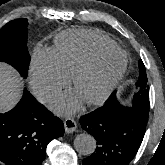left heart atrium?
<instances>
[{
    "label": "left heart atrium",
    "instance_id": "obj_1",
    "mask_svg": "<svg viewBox=\"0 0 165 165\" xmlns=\"http://www.w3.org/2000/svg\"><path fill=\"white\" fill-rule=\"evenodd\" d=\"M82 103V98L76 92L60 95L53 104L54 109L62 114H72L77 111Z\"/></svg>",
    "mask_w": 165,
    "mask_h": 165
}]
</instances>
